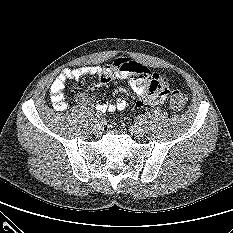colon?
<instances>
[{
	"label": "colon",
	"mask_w": 233,
	"mask_h": 233,
	"mask_svg": "<svg viewBox=\"0 0 233 233\" xmlns=\"http://www.w3.org/2000/svg\"><path fill=\"white\" fill-rule=\"evenodd\" d=\"M134 76L140 79L149 78L151 73L146 67L136 66L134 69ZM187 98L180 90H174L170 96V108L175 112H180L186 105Z\"/></svg>",
	"instance_id": "colon-1"
}]
</instances>
